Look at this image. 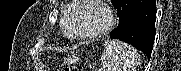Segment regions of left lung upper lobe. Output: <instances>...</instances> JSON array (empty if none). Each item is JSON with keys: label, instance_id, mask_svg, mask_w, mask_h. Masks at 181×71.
Listing matches in <instances>:
<instances>
[{"label": "left lung upper lobe", "instance_id": "left-lung-upper-lobe-1", "mask_svg": "<svg viewBox=\"0 0 181 71\" xmlns=\"http://www.w3.org/2000/svg\"><path fill=\"white\" fill-rule=\"evenodd\" d=\"M113 4H115L118 0H111Z\"/></svg>", "mask_w": 181, "mask_h": 71}]
</instances>
